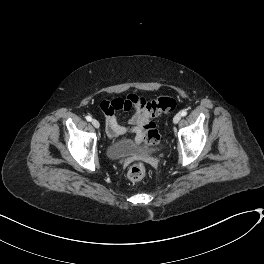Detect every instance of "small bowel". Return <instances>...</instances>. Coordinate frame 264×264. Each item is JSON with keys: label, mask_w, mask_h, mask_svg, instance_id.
<instances>
[{"label": "small bowel", "mask_w": 264, "mask_h": 264, "mask_svg": "<svg viewBox=\"0 0 264 264\" xmlns=\"http://www.w3.org/2000/svg\"><path fill=\"white\" fill-rule=\"evenodd\" d=\"M145 100L142 96L131 94L124 99L102 100L97 107L104 116L106 131L112 141H116L120 135L134 134L135 142L143 141V128L145 113ZM131 111L127 120L128 126L120 125L116 111Z\"/></svg>", "instance_id": "small-bowel-1"}]
</instances>
